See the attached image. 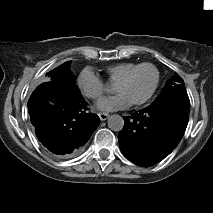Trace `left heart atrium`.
Instances as JSON below:
<instances>
[{
	"label": "left heart atrium",
	"mask_w": 213,
	"mask_h": 213,
	"mask_svg": "<svg viewBox=\"0 0 213 213\" xmlns=\"http://www.w3.org/2000/svg\"><path fill=\"white\" fill-rule=\"evenodd\" d=\"M129 105V101L122 94H116L97 103V108L104 112H112Z\"/></svg>",
	"instance_id": "1"
}]
</instances>
